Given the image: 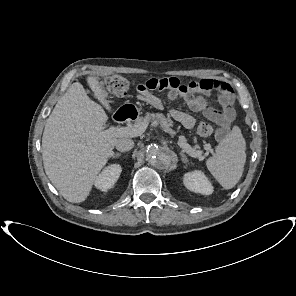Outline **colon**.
<instances>
[{"mask_svg":"<svg viewBox=\"0 0 296 296\" xmlns=\"http://www.w3.org/2000/svg\"><path fill=\"white\" fill-rule=\"evenodd\" d=\"M100 86L105 94L114 96H125L132 86V81L126 77L120 75H113L103 78L100 82ZM216 111L212 110L209 115H215ZM197 132L201 137H208L212 134L213 128L208 122H201L198 125Z\"/></svg>","mask_w":296,"mask_h":296,"instance_id":"5ec220e1","label":"colon"}]
</instances>
